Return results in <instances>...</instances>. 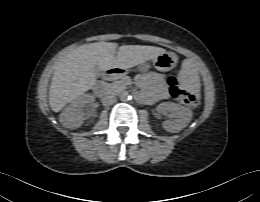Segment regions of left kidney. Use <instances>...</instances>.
Masks as SVG:
<instances>
[{"instance_id": "1", "label": "left kidney", "mask_w": 260, "mask_h": 202, "mask_svg": "<svg viewBox=\"0 0 260 202\" xmlns=\"http://www.w3.org/2000/svg\"><path fill=\"white\" fill-rule=\"evenodd\" d=\"M159 113L169 112L174 118L173 121H165L163 127L169 132H178L185 128L192 119V111L184 106L173 102H164L157 106Z\"/></svg>"}]
</instances>
